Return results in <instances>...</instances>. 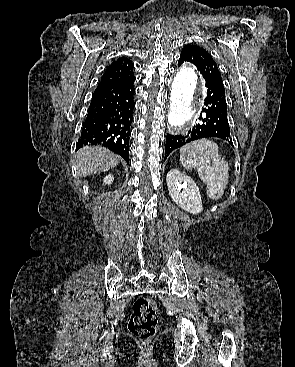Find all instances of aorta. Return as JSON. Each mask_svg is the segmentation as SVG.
<instances>
[{
    "mask_svg": "<svg viewBox=\"0 0 295 367\" xmlns=\"http://www.w3.org/2000/svg\"><path fill=\"white\" fill-rule=\"evenodd\" d=\"M199 79L195 70L189 65H183L172 82L171 104L168 124L175 129H182L191 121L198 100Z\"/></svg>",
    "mask_w": 295,
    "mask_h": 367,
    "instance_id": "1",
    "label": "aorta"
}]
</instances>
